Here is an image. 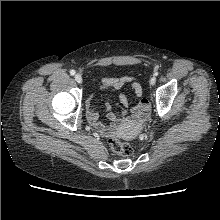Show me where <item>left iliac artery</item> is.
Wrapping results in <instances>:
<instances>
[{
  "label": "left iliac artery",
  "mask_w": 220,
  "mask_h": 220,
  "mask_svg": "<svg viewBox=\"0 0 220 220\" xmlns=\"http://www.w3.org/2000/svg\"><path fill=\"white\" fill-rule=\"evenodd\" d=\"M155 76H157L158 75V72H155V74H154Z\"/></svg>",
  "instance_id": "1"
}]
</instances>
